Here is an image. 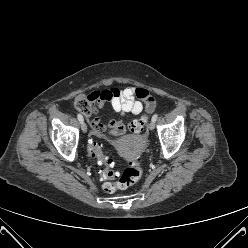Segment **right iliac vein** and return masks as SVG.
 <instances>
[{
	"mask_svg": "<svg viewBox=\"0 0 248 248\" xmlns=\"http://www.w3.org/2000/svg\"><path fill=\"white\" fill-rule=\"evenodd\" d=\"M81 127H82V131L84 133H86L87 132V125L83 122V123H81Z\"/></svg>",
	"mask_w": 248,
	"mask_h": 248,
	"instance_id": "right-iliac-vein-1",
	"label": "right iliac vein"
}]
</instances>
